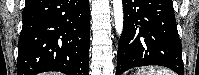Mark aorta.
Segmentation results:
<instances>
[{
  "label": "aorta",
  "instance_id": "obj_1",
  "mask_svg": "<svg viewBox=\"0 0 199 75\" xmlns=\"http://www.w3.org/2000/svg\"><path fill=\"white\" fill-rule=\"evenodd\" d=\"M113 12L115 20V29L117 34L120 36L123 30L124 21L122 0H113Z\"/></svg>",
  "mask_w": 199,
  "mask_h": 75
}]
</instances>
